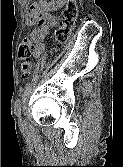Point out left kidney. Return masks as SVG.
<instances>
[{
  "label": "left kidney",
  "instance_id": "1",
  "mask_svg": "<svg viewBox=\"0 0 123 167\" xmlns=\"http://www.w3.org/2000/svg\"><path fill=\"white\" fill-rule=\"evenodd\" d=\"M65 0H58V3L55 7H53V9H58L59 7H62V5H64Z\"/></svg>",
  "mask_w": 123,
  "mask_h": 167
}]
</instances>
